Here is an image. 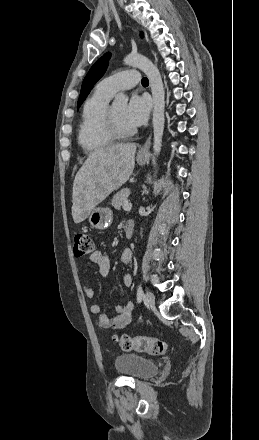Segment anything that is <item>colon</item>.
<instances>
[{"label":"colon","instance_id":"1","mask_svg":"<svg viewBox=\"0 0 259 440\" xmlns=\"http://www.w3.org/2000/svg\"><path fill=\"white\" fill-rule=\"evenodd\" d=\"M94 243L91 237L85 233H78L74 238V254L77 257L93 253ZM114 341L125 350L147 352L152 355H165L169 352V345L160 339L146 336L130 337L128 335L115 336Z\"/></svg>","mask_w":259,"mask_h":440}]
</instances>
